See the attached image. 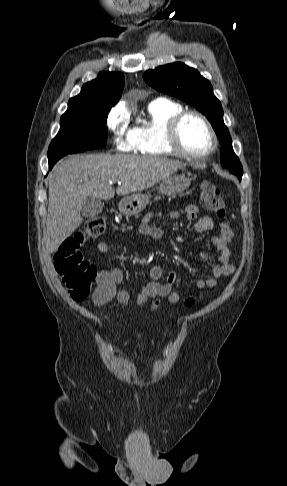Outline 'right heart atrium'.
<instances>
[{
	"instance_id": "obj_1",
	"label": "right heart atrium",
	"mask_w": 287,
	"mask_h": 486,
	"mask_svg": "<svg viewBox=\"0 0 287 486\" xmlns=\"http://www.w3.org/2000/svg\"><path fill=\"white\" fill-rule=\"evenodd\" d=\"M106 127L115 135L114 146L118 151L133 150V141L128 129V116L119 107L112 108L106 117Z\"/></svg>"
}]
</instances>
